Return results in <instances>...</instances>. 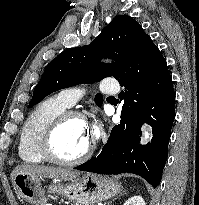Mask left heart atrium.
<instances>
[{
    "label": "left heart atrium",
    "instance_id": "1",
    "mask_svg": "<svg viewBox=\"0 0 199 205\" xmlns=\"http://www.w3.org/2000/svg\"><path fill=\"white\" fill-rule=\"evenodd\" d=\"M89 133L92 138L98 137L100 134V129L97 126L89 128Z\"/></svg>",
    "mask_w": 199,
    "mask_h": 205
}]
</instances>
